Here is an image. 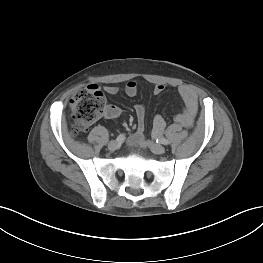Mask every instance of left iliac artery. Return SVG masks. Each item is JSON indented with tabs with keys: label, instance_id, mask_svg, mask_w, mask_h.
Returning a JSON list of instances; mask_svg holds the SVG:
<instances>
[{
	"label": "left iliac artery",
	"instance_id": "44dca946",
	"mask_svg": "<svg viewBox=\"0 0 263 263\" xmlns=\"http://www.w3.org/2000/svg\"><path fill=\"white\" fill-rule=\"evenodd\" d=\"M156 142L157 143L159 142V143H161L163 145H168L169 144V141L167 139L163 138V137L157 138Z\"/></svg>",
	"mask_w": 263,
	"mask_h": 263
}]
</instances>
